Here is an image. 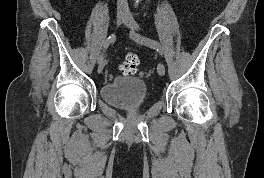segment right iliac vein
<instances>
[{
	"label": "right iliac vein",
	"instance_id": "right-iliac-vein-1",
	"mask_svg": "<svg viewBox=\"0 0 264 178\" xmlns=\"http://www.w3.org/2000/svg\"><path fill=\"white\" fill-rule=\"evenodd\" d=\"M127 19V15L124 13H118L117 14V25L122 24L125 20ZM106 62L105 61H101L98 65V72H102V70L105 67Z\"/></svg>",
	"mask_w": 264,
	"mask_h": 178
}]
</instances>
